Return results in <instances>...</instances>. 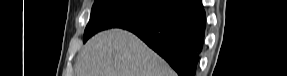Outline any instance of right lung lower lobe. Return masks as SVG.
Listing matches in <instances>:
<instances>
[{
    "label": "right lung lower lobe",
    "mask_w": 287,
    "mask_h": 76,
    "mask_svg": "<svg viewBox=\"0 0 287 76\" xmlns=\"http://www.w3.org/2000/svg\"><path fill=\"white\" fill-rule=\"evenodd\" d=\"M205 23L201 0H171L156 17L127 30L162 56L179 76H194Z\"/></svg>",
    "instance_id": "98d812e1"
}]
</instances>
